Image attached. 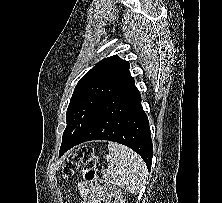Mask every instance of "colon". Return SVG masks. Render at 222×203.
Instances as JSON below:
<instances>
[{
    "instance_id": "colon-1",
    "label": "colon",
    "mask_w": 222,
    "mask_h": 203,
    "mask_svg": "<svg viewBox=\"0 0 222 203\" xmlns=\"http://www.w3.org/2000/svg\"><path fill=\"white\" fill-rule=\"evenodd\" d=\"M97 157L90 146H82L73 151L62 166V175L72 177L78 169L82 168L83 178L86 183H98L111 190L112 203H123L121 191L107 181L99 179L97 170Z\"/></svg>"
}]
</instances>
